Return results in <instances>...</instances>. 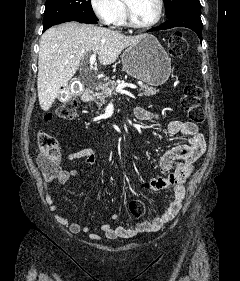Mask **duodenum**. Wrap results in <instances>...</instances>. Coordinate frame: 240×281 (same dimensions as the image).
<instances>
[{
    "label": "duodenum",
    "instance_id": "410a0bca",
    "mask_svg": "<svg viewBox=\"0 0 240 281\" xmlns=\"http://www.w3.org/2000/svg\"><path fill=\"white\" fill-rule=\"evenodd\" d=\"M93 98H94V92L92 91V90H88V91H86L83 95H82V100H83V102H90V101H92L93 100ZM134 115L137 117V118H139V111H138V109H135L134 110Z\"/></svg>",
    "mask_w": 240,
    "mask_h": 281
}]
</instances>
